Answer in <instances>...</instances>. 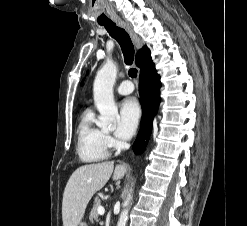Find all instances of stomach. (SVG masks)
Returning <instances> with one entry per match:
<instances>
[{
    "label": "stomach",
    "instance_id": "stomach-1",
    "mask_svg": "<svg viewBox=\"0 0 247 226\" xmlns=\"http://www.w3.org/2000/svg\"><path fill=\"white\" fill-rule=\"evenodd\" d=\"M78 226H87V224L84 223V222H80V223L78 224Z\"/></svg>",
    "mask_w": 247,
    "mask_h": 226
}]
</instances>
